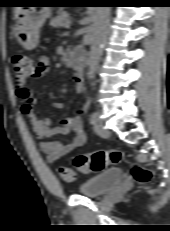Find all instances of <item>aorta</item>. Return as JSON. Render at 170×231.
<instances>
[{
    "label": "aorta",
    "mask_w": 170,
    "mask_h": 231,
    "mask_svg": "<svg viewBox=\"0 0 170 231\" xmlns=\"http://www.w3.org/2000/svg\"><path fill=\"white\" fill-rule=\"evenodd\" d=\"M110 7H96L94 13V24L92 30V41L88 55V77L92 78L95 74L101 52L102 42L105 33V24L109 15Z\"/></svg>",
    "instance_id": "aorta-1"
}]
</instances>
